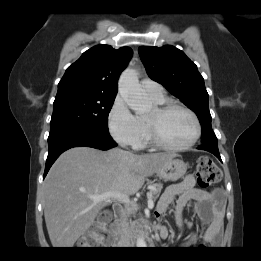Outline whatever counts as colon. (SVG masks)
I'll list each match as a JSON object with an SVG mask.
<instances>
[{
	"instance_id": "5ec220e1",
	"label": "colon",
	"mask_w": 261,
	"mask_h": 261,
	"mask_svg": "<svg viewBox=\"0 0 261 261\" xmlns=\"http://www.w3.org/2000/svg\"><path fill=\"white\" fill-rule=\"evenodd\" d=\"M196 178L200 186L208 187L218 183L222 178V174L220 169L210 157L203 156L200 157L197 161ZM110 218V212L105 211L101 213L99 222L80 242V247H82V249H93L95 246L101 243L104 237L105 223H107Z\"/></svg>"
}]
</instances>
